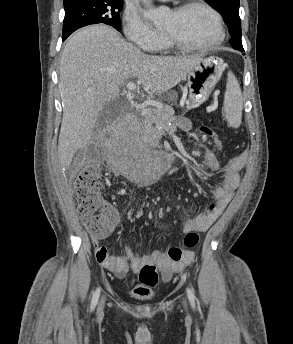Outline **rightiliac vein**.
Segmentation results:
<instances>
[{
	"instance_id": "obj_1",
	"label": "right iliac vein",
	"mask_w": 293,
	"mask_h": 344,
	"mask_svg": "<svg viewBox=\"0 0 293 344\" xmlns=\"http://www.w3.org/2000/svg\"><path fill=\"white\" fill-rule=\"evenodd\" d=\"M104 303H105V299L103 298L101 300V303H100V306H99V309H98V314H102L103 308H104Z\"/></svg>"
}]
</instances>
